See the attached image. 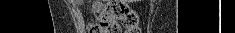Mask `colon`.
<instances>
[{
	"label": "colon",
	"instance_id": "5ec220e1",
	"mask_svg": "<svg viewBox=\"0 0 235 33\" xmlns=\"http://www.w3.org/2000/svg\"><path fill=\"white\" fill-rule=\"evenodd\" d=\"M125 33H140L137 13L121 1H109L99 12L97 22L88 26L89 33H120L121 27Z\"/></svg>",
	"mask_w": 235,
	"mask_h": 33
}]
</instances>
